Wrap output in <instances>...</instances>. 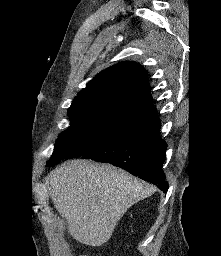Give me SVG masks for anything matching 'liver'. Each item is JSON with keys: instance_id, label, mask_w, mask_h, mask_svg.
Returning <instances> with one entry per match:
<instances>
[{"instance_id": "1", "label": "liver", "mask_w": 221, "mask_h": 256, "mask_svg": "<svg viewBox=\"0 0 221 256\" xmlns=\"http://www.w3.org/2000/svg\"><path fill=\"white\" fill-rule=\"evenodd\" d=\"M47 182L70 235L90 246L106 243L127 209L155 192L122 169L81 159L63 163Z\"/></svg>"}]
</instances>
